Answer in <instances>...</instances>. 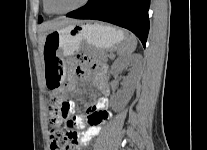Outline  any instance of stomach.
I'll return each mask as SVG.
<instances>
[{
    "label": "stomach",
    "instance_id": "0dacf381",
    "mask_svg": "<svg viewBox=\"0 0 207 150\" xmlns=\"http://www.w3.org/2000/svg\"><path fill=\"white\" fill-rule=\"evenodd\" d=\"M126 41L123 30L98 22H80L52 30L46 35L42 50L47 86L54 89L64 83L65 58L73 57L83 44L91 49L92 57L101 60Z\"/></svg>",
    "mask_w": 207,
    "mask_h": 150
}]
</instances>
